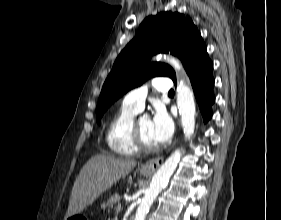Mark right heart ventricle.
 Returning a JSON list of instances; mask_svg holds the SVG:
<instances>
[{
  "mask_svg": "<svg viewBox=\"0 0 281 220\" xmlns=\"http://www.w3.org/2000/svg\"><path fill=\"white\" fill-rule=\"evenodd\" d=\"M138 111L124 102L113 116L106 135L109 149L117 155L131 157L139 151L131 139V128Z\"/></svg>",
  "mask_w": 281,
  "mask_h": 220,
  "instance_id": "obj_1",
  "label": "right heart ventricle"
}]
</instances>
